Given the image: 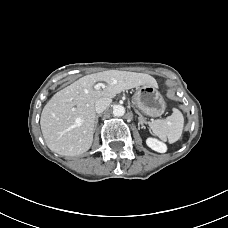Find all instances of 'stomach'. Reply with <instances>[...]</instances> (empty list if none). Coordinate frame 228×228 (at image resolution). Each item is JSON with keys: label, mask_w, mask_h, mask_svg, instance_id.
<instances>
[{"label": "stomach", "mask_w": 228, "mask_h": 228, "mask_svg": "<svg viewBox=\"0 0 228 228\" xmlns=\"http://www.w3.org/2000/svg\"><path fill=\"white\" fill-rule=\"evenodd\" d=\"M135 106L145 115L158 117L165 111L166 105L157 87L142 85L133 96Z\"/></svg>", "instance_id": "stomach-1"}]
</instances>
